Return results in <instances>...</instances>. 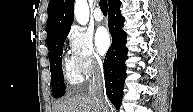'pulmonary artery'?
Listing matches in <instances>:
<instances>
[{
	"label": "pulmonary artery",
	"mask_w": 193,
	"mask_h": 112,
	"mask_svg": "<svg viewBox=\"0 0 193 112\" xmlns=\"http://www.w3.org/2000/svg\"><path fill=\"white\" fill-rule=\"evenodd\" d=\"M94 18L98 22H101L104 19V15H103V13L101 12L100 9H98V8L95 9V11H94Z\"/></svg>",
	"instance_id": "1"
}]
</instances>
